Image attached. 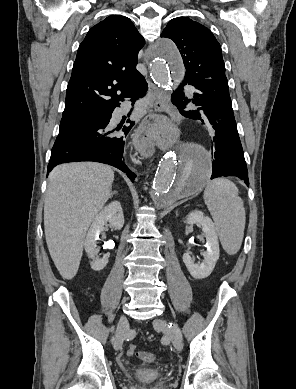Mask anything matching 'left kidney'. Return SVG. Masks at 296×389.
I'll return each instance as SVG.
<instances>
[{
    "instance_id": "obj_1",
    "label": "left kidney",
    "mask_w": 296,
    "mask_h": 389,
    "mask_svg": "<svg viewBox=\"0 0 296 389\" xmlns=\"http://www.w3.org/2000/svg\"><path fill=\"white\" fill-rule=\"evenodd\" d=\"M185 223L189 225L197 224L202 227L207 247V250L203 253V262L195 263L189 253L183 255V262L192 277L195 279H204L212 273L219 259V242L214 224L209 217L204 216L198 210L189 213Z\"/></svg>"
}]
</instances>
